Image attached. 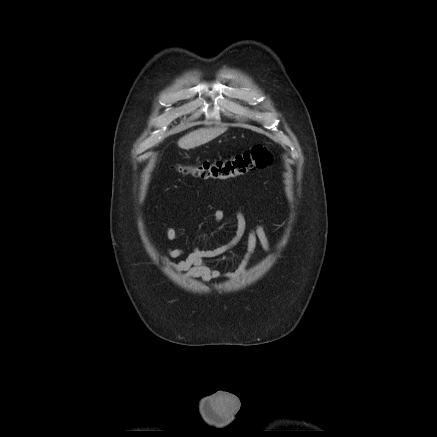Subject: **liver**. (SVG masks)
I'll list each match as a JSON object with an SVG mask.
<instances>
[{
	"label": "liver",
	"instance_id": "obj_1",
	"mask_svg": "<svg viewBox=\"0 0 437 437\" xmlns=\"http://www.w3.org/2000/svg\"><path fill=\"white\" fill-rule=\"evenodd\" d=\"M226 128H200L183 136L178 141V146L189 150L201 146L223 134Z\"/></svg>",
	"mask_w": 437,
	"mask_h": 437
}]
</instances>
